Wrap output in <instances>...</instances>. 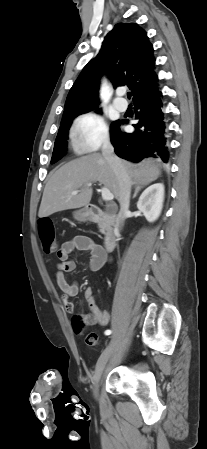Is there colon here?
<instances>
[{
    "mask_svg": "<svg viewBox=\"0 0 207 449\" xmlns=\"http://www.w3.org/2000/svg\"><path fill=\"white\" fill-rule=\"evenodd\" d=\"M39 232L42 242L43 251L45 253H54L57 250V243L55 240L54 225L48 218L39 220ZM73 326L76 331H81L84 322L80 316L75 317ZM85 343L88 346H95L98 343V336L95 332H89L85 336Z\"/></svg>",
    "mask_w": 207,
    "mask_h": 449,
    "instance_id": "colon-1",
    "label": "colon"
}]
</instances>
